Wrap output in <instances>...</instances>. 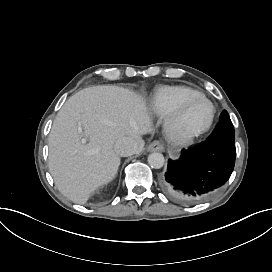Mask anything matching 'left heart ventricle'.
<instances>
[{
  "instance_id": "b2bd125f",
  "label": "left heart ventricle",
  "mask_w": 272,
  "mask_h": 272,
  "mask_svg": "<svg viewBox=\"0 0 272 272\" xmlns=\"http://www.w3.org/2000/svg\"><path fill=\"white\" fill-rule=\"evenodd\" d=\"M211 116L210 105L197 98L182 111L179 123L183 129H196L205 126Z\"/></svg>"
}]
</instances>
